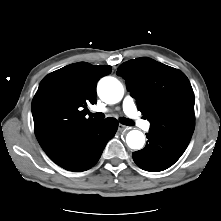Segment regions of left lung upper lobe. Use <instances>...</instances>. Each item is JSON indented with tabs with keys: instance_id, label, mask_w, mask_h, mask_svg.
Masks as SVG:
<instances>
[{
	"instance_id": "5c2ea615",
	"label": "left lung upper lobe",
	"mask_w": 221,
	"mask_h": 221,
	"mask_svg": "<svg viewBox=\"0 0 221 221\" xmlns=\"http://www.w3.org/2000/svg\"><path fill=\"white\" fill-rule=\"evenodd\" d=\"M117 75L150 121V132L186 148L195 126L194 93L186 75L146 57L121 64Z\"/></svg>"
}]
</instances>
